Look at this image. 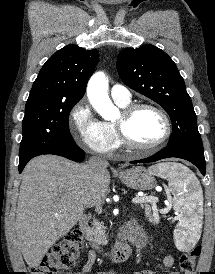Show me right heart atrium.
Instances as JSON below:
<instances>
[{
  "label": "right heart atrium",
  "mask_w": 215,
  "mask_h": 274,
  "mask_svg": "<svg viewBox=\"0 0 215 274\" xmlns=\"http://www.w3.org/2000/svg\"><path fill=\"white\" fill-rule=\"evenodd\" d=\"M69 129L75 142L92 153L109 156L115 148L114 138L104 129L84 99L72 108Z\"/></svg>",
  "instance_id": "1"
}]
</instances>
